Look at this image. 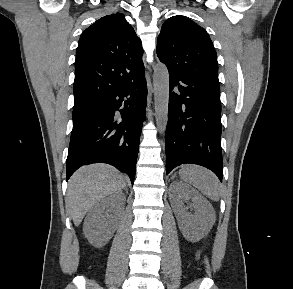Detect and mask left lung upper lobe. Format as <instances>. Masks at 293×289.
Segmentation results:
<instances>
[{
  "label": "left lung upper lobe",
  "instance_id": "5c2ea615",
  "mask_svg": "<svg viewBox=\"0 0 293 289\" xmlns=\"http://www.w3.org/2000/svg\"><path fill=\"white\" fill-rule=\"evenodd\" d=\"M156 52L169 72L219 85L213 43L208 33L189 18L173 16L162 25Z\"/></svg>",
  "mask_w": 293,
  "mask_h": 289
}]
</instances>
